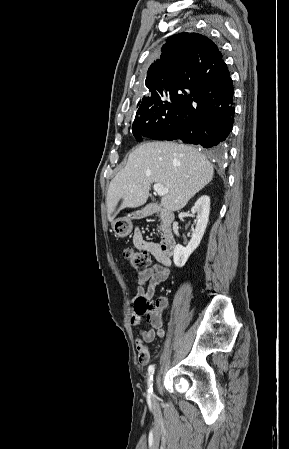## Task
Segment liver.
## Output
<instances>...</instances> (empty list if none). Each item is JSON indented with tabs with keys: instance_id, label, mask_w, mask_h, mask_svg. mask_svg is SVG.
Listing matches in <instances>:
<instances>
[{
	"instance_id": "obj_1",
	"label": "liver",
	"mask_w": 289,
	"mask_h": 449,
	"mask_svg": "<svg viewBox=\"0 0 289 449\" xmlns=\"http://www.w3.org/2000/svg\"><path fill=\"white\" fill-rule=\"evenodd\" d=\"M213 175V165L195 147L171 142L144 143L130 153L125 168L110 182L106 198L108 219L113 222L120 210L145 204L152 183H161L168 189L161 206L179 211Z\"/></svg>"
}]
</instances>
